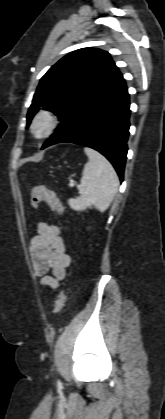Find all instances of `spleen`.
<instances>
[{"label":"spleen","instance_id":"obj_1","mask_svg":"<svg viewBox=\"0 0 165 419\" xmlns=\"http://www.w3.org/2000/svg\"><path fill=\"white\" fill-rule=\"evenodd\" d=\"M89 158L83 169L80 196L69 199L68 204L74 210H84L94 206L100 212L107 210L118 190V176L110 162L99 152L85 147Z\"/></svg>","mask_w":165,"mask_h":419}]
</instances>
